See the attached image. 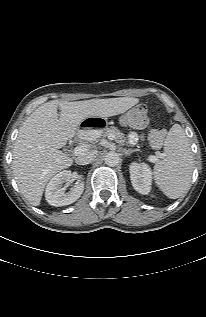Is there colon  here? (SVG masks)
Returning a JSON list of instances; mask_svg holds the SVG:
<instances>
[{"label": "colon", "mask_w": 206, "mask_h": 317, "mask_svg": "<svg viewBox=\"0 0 206 317\" xmlns=\"http://www.w3.org/2000/svg\"><path fill=\"white\" fill-rule=\"evenodd\" d=\"M121 123L124 126L133 128H144L148 123L147 108L144 105H137L121 116ZM166 135L164 128L152 130L150 142L153 147H159Z\"/></svg>", "instance_id": "1"}]
</instances>
